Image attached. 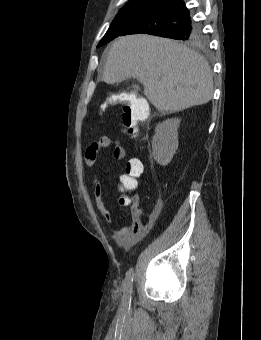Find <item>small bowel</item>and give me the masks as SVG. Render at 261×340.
Returning a JSON list of instances; mask_svg holds the SVG:
<instances>
[{"mask_svg":"<svg viewBox=\"0 0 261 340\" xmlns=\"http://www.w3.org/2000/svg\"><path fill=\"white\" fill-rule=\"evenodd\" d=\"M112 140L108 135H102L96 142L92 143L85 151L84 163L87 167H92L95 165L99 153L110 147ZM126 156V151L124 147L116 145L112 151V157L114 160H122ZM127 176L121 177V181ZM95 205L102 217L109 223L112 222V214L107 209L104 199H103V184L98 181L95 185L94 190ZM132 223L130 225H125L121 228L113 229L112 233L114 238L119 241L124 246H131L143 236H145L155 221V215L151 214L145 223L142 222V211L139 206L138 199H134L132 203Z\"/></svg>","mask_w":261,"mask_h":340,"instance_id":"obj_1","label":"small bowel"}]
</instances>
